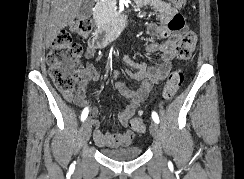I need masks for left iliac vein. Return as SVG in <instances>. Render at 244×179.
Listing matches in <instances>:
<instances>
[{
  "instance_id": "1",
  "label": "left iliac vein",
  "mask_w": 244,
  "mask_h": 179,
  "mask_svg": "<svg viewBox=\"0 0 244 179\" xmlns=\"http://www.w3.org/2000/svg\"><path fill=\"white\" fill-rule=\"evenodd\" d=\"M150 132H151V135L153 136L154 140L156 141V143H158L160 145L162 142V133L156 122H151Z\"/></svg>"
}]
</instances>
